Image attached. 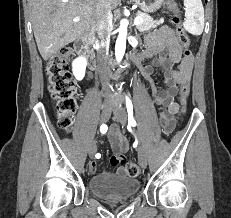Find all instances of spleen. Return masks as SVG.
<instances>
[{"mask_svg":"<svg viewBox=\"0 0 231 218\" xmlns=\"http://www.w3.org/2000/svg\"><path fill=\"white\" fill-rule=\"evenodd\" d=\"M184 6L183 27L192 35H201L204 29V8L201 0H184Z\"/></svg>","mask_w":231,"mask_h":218,"instance_id":"obj_1","label":"spleen"}]
</instances>
